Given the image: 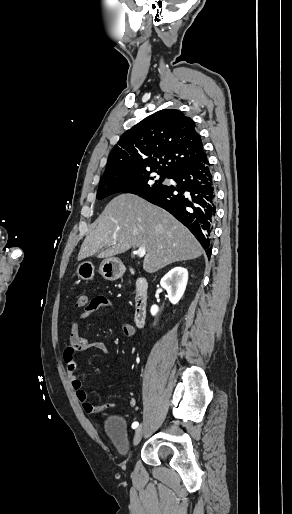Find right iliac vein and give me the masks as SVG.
I'll use <instances>...</instances> for the list:
<instances>
[{
	"label": "right iliac vein",
	"mask_w": 292,
	"mask_h": 514,
	"mask_svg": "<svg viewBox=\"0 0 292 514\" xmlns=\"http://www.w3.org/2000/svg\"><path fill=\"white\" fill-rule=\"evenodd\" d=\"M145 428H146V423L143 422L136 430L135 432V435H134V438H133V445L136 446L139 444L142 436H143V433L145 431Z\"/></svg>",
	"instance_id": "1"
}]
</instances>
